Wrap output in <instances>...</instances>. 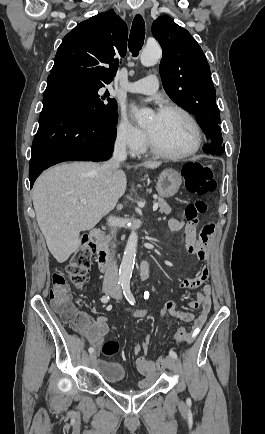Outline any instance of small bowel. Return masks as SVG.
Returning a JSON list of instances; mask_svg holds the SVG:
<instances>
[{
	"label": "small bowel",
	"instance_id": "obj_1",
	"mask_svg": "<svg viewBox=\"0 0 265 434\" xmlns=\"http://www.w3.org/2000/svg\"><path fill=\"white\" fill-rule=\"evenodd\" d=\"M184 226V223L179 218H171L169 220V228L171 231H178ZM186 250L189 254L195 255L199 260H207V245L212 236V234L207 239H202L197 236L194 224H187L185 226ZM210 276V269L207 265L203 266L197 275L193 278H185L181 281V288L196 289V298L190 301L187 305L191 309L198 310L197 314L192 312H182L180 311L173 301H167L159 311V316L164 317L170 315L171 317L183 321L192 323L189 330V339L186 344L191 343L196 336L199 334L200 330L204 326L208 315L211 310V287L207 284V280ZM127 311L130 309L128 306L125 308ZM79 319V325L72 326L88 341V343L97 348L108 332V318L105 315H99L94 318L90 314L84 311H76ZM149 312L147 310H131L130 317L144 318ZM150 338H146L140 345L137 346V350H141L142 354L137 358L136 365L141 374L146 378L140 380V385L142 387H149L152 383L157 382L158 377L156 375L154 362L148 357L149 349L148 344Z\"/></svg>",
	"mask_w": 265,
	"mask_h": 434
}]
</instances>
